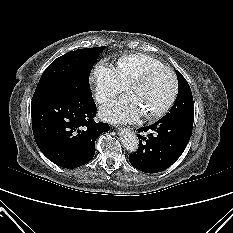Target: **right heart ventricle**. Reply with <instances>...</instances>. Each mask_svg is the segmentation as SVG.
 Instances as JSON below:
<instances>
[{"label":"right heart ventricle","mask_w":233,"mask_h":233,"mask_svg":"<svg viewBox=\"0 0 233 233\" xmlns=\"http://www.w3.org/2000/svg\"><path fill=\"white\" fill-rule=\"evenodd\" d=\"M163 65L159 60L146 54H132L120 58L117 62V71L128 85L136 76L145 69L153 66Z\"/></svg>","instance_id":"obj_1"}]
</instances>
